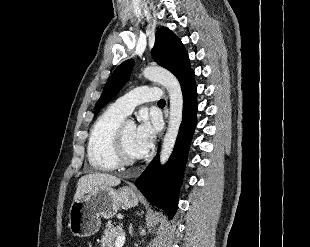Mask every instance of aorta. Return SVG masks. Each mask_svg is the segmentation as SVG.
Instances as JSON below:
<instances>
[{
    "label": "aorta",
    "mask_w": 310,
    "mask_h": 247,
    "mask_svg": "<svg viewBox=\"0 0 310 247\" xmlns=\"http://www.w3.org/2000/svg\"><path fill=\"white\" fill-rule=\"evenodd\" d=\"M145 78L162 84L168 91L170 113L168 127L163 139L160 152V163L165 164L171 156L182 122L183 95L179 81L169 71L160 67H146L143 71Z\"/></svg>",
    "instance_id": "aorta-1"
}]
</instances>
